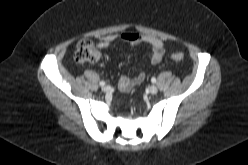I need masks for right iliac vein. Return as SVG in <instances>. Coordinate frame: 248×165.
<instances>
[{
	"label": "right iliac vein",
	"instance_id": "63e3f726",
	"mask_svg": "<svg viewBox=\"0 0 248 165\" xmlns=\"http://www.w3.org/2000/svg\"><path fill=\"white\" fill-rule=\"evenodd\" d=\"M110 89H111V88H110L109 86H103V87H102V91H103V92H106V93L109 92Z\"/></svg>",
	"mask_w": 248,
	"mask_h": 165
}]
</instances>
